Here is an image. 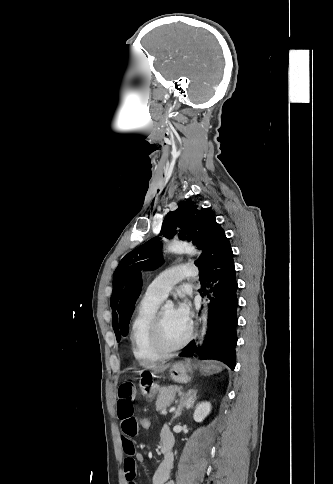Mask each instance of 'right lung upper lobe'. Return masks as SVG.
I'll use <instances>...</instances> for the list:
<instances>
[{
    "label": "right lung upper lobe",
    "mask_w": 333,
    "mask_h": 484,
    "mask_svg": "<svg viewBox=\"0 0 333 484\" xmlns=\"http://www.w3.org/2000/svg\"><path fill=\"white\" fill-rule=\"evenodd\" d=\"M141 286H142L141 274L137 272L133 274L132 277L129 279L127 286L124 290V293L122 295L121 302L118 309L120 314V328L122 333L125 329L126 324L131 318L135 302L141 291Z\"/></svg>",
    "instance_id": "right-lung-upper-lobe-1"
}]
</instances>
